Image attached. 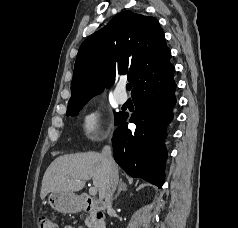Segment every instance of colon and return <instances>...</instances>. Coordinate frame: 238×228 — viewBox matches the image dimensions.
I'll list each match as a JSON object with an SVG mask.
<instances>
[{
	"label": "colon",
	"instance_id": "5ec220e1",
	"mask_svg": "<svg viewBox=\"0 0 238 228\" xmlns=\"http://www.w3.org/2000/svg\"><path fill=\"white\" fill-rule=\"evenodd\" d=\"M38 228H57L56 224L47 215H39L37 218Z\"/></svg>",
	"mask_w": 238,
	"mask_h": 228
}]
</instances>
